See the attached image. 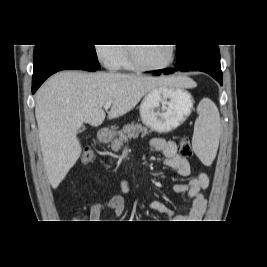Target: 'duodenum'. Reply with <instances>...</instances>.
<instances>
[{"label":"duodenum","instance_id":"obj_1","mask_svg":"<svg viewBox=\"0 0 267 267\" xmlns=\"http://www.w3.org/2000/svg\"><path fill=\"white\" fill-rule=\"evenodd\" d=\"M110 137V131L107 128H103L100 131V139L106 141Z\"/></svg>","mask_w":267,"mask_h":267}]
</instances>
